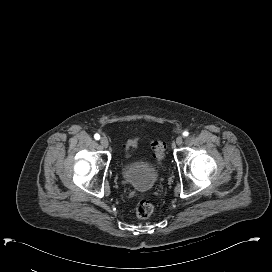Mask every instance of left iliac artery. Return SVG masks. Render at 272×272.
<instances>
[{"instance_id":"1","label":"left iliac artery","mask_w":272,"mask_h":272,"mask_svg":"<svg viewBox=\"0 0 272 272\" xmlns=\"http://www.w3.org/2000/svg\"><path fill=\"white\" fill-rule=\"evenodd\" d=\"M188 135H189V132H188V131H184V132H183V136L186 137V136H188Z\"/></svg>"}]
</instances>
